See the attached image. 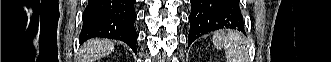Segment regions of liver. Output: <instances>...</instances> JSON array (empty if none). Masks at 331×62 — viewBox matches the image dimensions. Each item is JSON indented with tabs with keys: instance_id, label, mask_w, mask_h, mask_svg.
<instances>
[{
	"instance_id": "obj_1",
	"label": "liver",
	"mask_w": 331,
	"mask_h": 62,
	"mask_svg": "<svg viewBox=\"0 0 331 62\" xmlns=\"http://www.w3.org/2000/svg\"><path fill=\"white\" fill-rule=\"evenodd\" d=\"M114 49V42L107 39L94 38L81 47L82 62H95L108 55Z\"/></svg>"
}]
</instances>
